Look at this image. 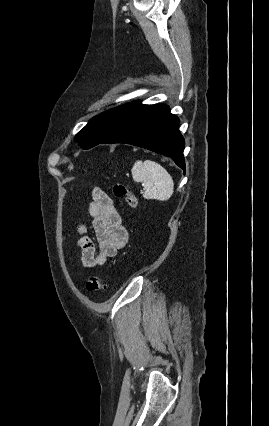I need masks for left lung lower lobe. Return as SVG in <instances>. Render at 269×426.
Masks as SVG:
<instances>
[{
    "label": "left lung lower lobe",
    "instance_id": "1",
    "mask_svg": "<svg viewBox=\"0 0 269 426\" xmlns=\"http://www.w3.org/2000/svg\"><path fill=\"white\" fill-rule=\"evenodd\" d=\"M179 119L167 105L126 104L108 135L99 144L126 143L171 157L185 170L184 138L178 130ZM185 173V172H184Z\"/></svg>",
    "mask_w": 269,
    "mask_h": 426
}]
</instances>
